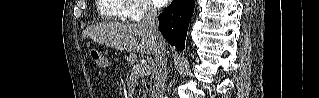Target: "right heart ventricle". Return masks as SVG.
I'll return each mask as SVG.
<instances>
[{"instance_id": "obj_1", "label": "right heart ventricle", "mask_w": 319, "mask_h": 98, "mask_svg": "<svg viewBox=\"0 0 319 98\" xmlns=\"http://www.w3.org/2000/svg\"><path fill=\"white\" fill-rule=\"evenodd\" d=\"M130 9V2L125 0H99V13L110 20L121 19Z\"/></svg>"}]
</instances>
